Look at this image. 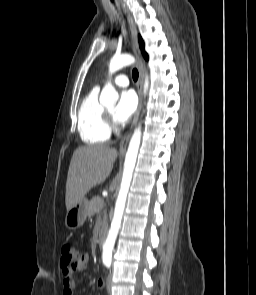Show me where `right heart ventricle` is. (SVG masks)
Instances as JSON below:
<instances>
[{
	"label": "right heart ventricle",
	"mask_w": 256,
	"mask_h": 295,
	"mask_svg": "<svg viewBox=\"0 0 256 295\" xmlns=\"http://www.w3.org/2000/svg\"><path fill=\"white\" fill-rule=\"evenodd\" d=\"M99 88H92L84 97L78 111V131L87 144L105 142L110 130L105 119V108L98 99Z\"/></svg>",
	"instance_id": "right-heart-ventricle-1"
}]
</instances>
